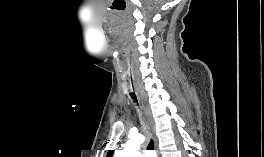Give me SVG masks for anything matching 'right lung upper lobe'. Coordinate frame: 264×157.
Wrapping results in <instances>:
<instances>
[{
    "mask_svg": "<svg viewBox=\"0 0 264 157\" xmlns=\"http://www.w3.org/2000/svg\"><path fill=\"white\" fill-rule=\"evenodd\" d=\"M112 154H113V151H112V150H109V151H108V155H107V157H111Z\"/></svg>",
    "mask_w": 264,
    "mask_h": 157,
    "instance_id": "obj_1",
    "label": "right lung upper lobe"
}]
</instances>
